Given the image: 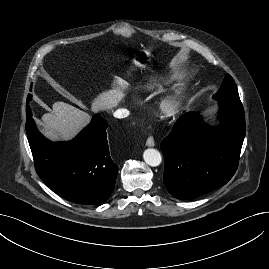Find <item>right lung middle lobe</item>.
I'll return each instance as SVG.
<instances>
[{
    "label": "right lung middle lobe",
    "instance_id": "right-lung-middle-lobe-1",
    "mask_svg": "<svg viewBox=\"0 0 269 269\" xmlns=\"http://www.w3.org/2000/svg\"><path fill=\"white\" fill-rule=\"evenodd\" d=\"M29 100L31 99V95H29V98H28Z\"/></svg>",
    "mask_w": 269,
    "mask_h": 269
}]
</instances>
